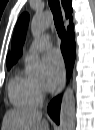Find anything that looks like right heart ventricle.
Segmentation results:
<instances>
[{
  "mask_svg": "<svg viewBox=\"0 0 95 130\" xmlns=\"http://www.w3.org/2000/svg\"><path fill=\"white\" fill-rule=\"evenodd\" d=\"M8 94L11 103L20 109L36 108L42 101L36 81L20 72L10 80Z\"/></svg>",
  "mask_w": 95,
  "mask_h": 130,
  "instance_id": "obj_1",
  "label": "right heart ventricle"
}]
</instances>
